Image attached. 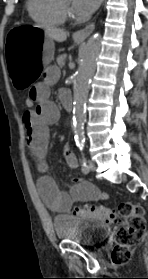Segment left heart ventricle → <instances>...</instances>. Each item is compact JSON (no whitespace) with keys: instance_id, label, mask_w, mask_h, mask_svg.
<instances>
[{"instance_id":"b2bd125f","label":"left heart ventricle","mask_w":148,"mask_h":279,"mask_svg":"<svg viewBox=\"0 0 148 279\" xmlns=\"http://www.w3.org/2000/svg\"><path fill=\"white\" fill-rule=\"evenodd\" d=\"M65 4L70 5L72 3L73 0H63Z\"/></svg>"}]
</instances>
